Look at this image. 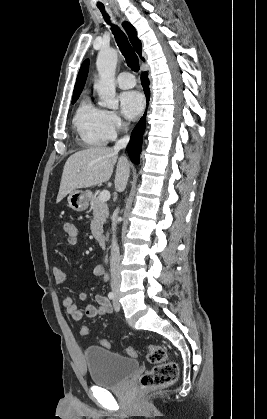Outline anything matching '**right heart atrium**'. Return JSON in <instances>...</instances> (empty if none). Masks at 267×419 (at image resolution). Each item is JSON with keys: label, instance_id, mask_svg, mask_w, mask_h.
<instances>
[{"label": "right heart atrium", "instance_id": "obj_1", "mask_svg": "<svg viewBox=\"0 0 267 419\" xmlns=\"http://www.w3.org/2000/svg\"><path fill=\"white\" fill-rule=\"evenodd\" d=\"M125 128V123L114 111H104V129L109 139L117 136Z\"/></svg>", "mask_w": 267, "mask_h": 419}]
</instances>
